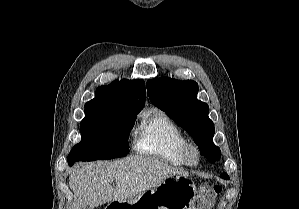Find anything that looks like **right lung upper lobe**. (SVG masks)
Returning <instances> with one entry per match:
<instances>
[{
    "instance_id": "1",
    "label": "right lung upper lobe",
    "mask_w": 299,
    "mask_h": 209,
    "mask_svg": "<svg viewBox=\"0 0 299 209\" xmlns=\"http://www.w3.org/2000/svg\"><path fill=\"white\" fill-rule=\"evenodd\" d=\"M145 96L143 80H116L98 87L95 98L85 104V111L139 113L144 107Z\"/></svg>"
}]
</instances>
